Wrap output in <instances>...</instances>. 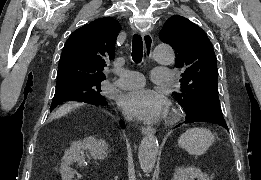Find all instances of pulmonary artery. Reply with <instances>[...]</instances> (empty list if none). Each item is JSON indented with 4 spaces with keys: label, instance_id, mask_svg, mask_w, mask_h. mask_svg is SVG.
I'll return each instance as SVG.
<instances>
[{
    "label": "pulmonary artery",
    "instance_id": "e3ab8cb5",
    "mask_svg": "<svg viewBox=\"0 0 261 180\" xmlns=\"http://www.w3.org/2000/svg\"><path fill=\"white\" fill-rule=\"evenodd\" d=\"M116 74L119 76L115 82L118 88H142L143 86L144 76L138 72L121 69L117 70ZM152 76L161 77L155 79L156 83H173V78L162 77H174V72H170V67H155Z\"/></svg>",
    "mask_w": 261,
    "mask_h": 180
}]
</instances>
